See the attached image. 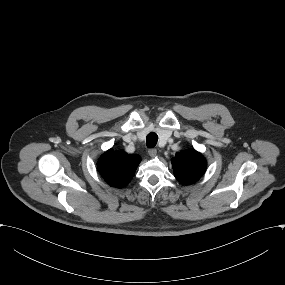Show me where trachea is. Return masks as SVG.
<instances>
[{"mask_svg": "<svg viewBox=\"0 0 285 285\" xmlns=\"http://www.w3.org/2000/svg\"><path fill=\"white\" fill-rule=\"evenodd\" d=\"M158 135L155 132H151L146 137L147 147L152 148L157 144Z\"/></svg>", "mask_w": 285, "mask_h": 285, "instance_id": "1", "label": "trachea"}]
</instances>
